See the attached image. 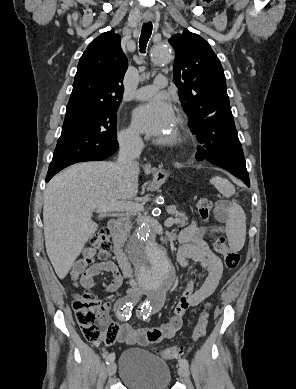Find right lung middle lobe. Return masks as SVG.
<instances>
[{"mask_svg":"<svg viewBox=\"0 0 296 389\" xmlns=\"http://www.w3.org/2000/svg\"><path fill=\"white\" fill-rule=\"evenodd\" d=\"M118 106L65 118L49 168H65L84 161H100L118 148L116 111Z\"/></svg>","mask_w":296,"mask_h":389,"instance_id":"1","label":"right lung middle lobe"}]
</instances>
